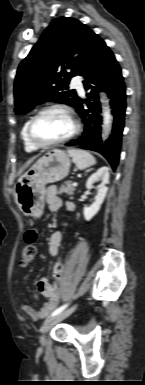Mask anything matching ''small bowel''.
I'll use <instances>...</instances> for the list:
<instances>
[{"label":"small bowel","instance_id":"small-bowel-1","mask_svg":"<svg viewBox=\"0 0 145 385\" xmlns=\"http://www.w3.org/2000/svg\"><path fill=\"white\" fill-rule=\"evenodd\" d=\"M46 203L50 211H57L62 206V200L56 193V187L50 186L46 191ZM67 207L70 211H74L75 207L73 204L68 203ZM62 243V233L60 231H54L50 237L49 252L51 255L56 256L60 253ZM58 264V263H57ZM61 264V263H59ZM62 265V264H61ZM56 266V265H55ZM54 266V269H55ZM62 272L57 274L53 270L54 282L50 283L45 277L39 279L36 285L37 292L47 298V301L40 309H36L28 304H21V309L27 315L34 320H40L46 318L57 306L60 294L62 290ZM37 298V295H35Z\"/></svg>","mask_w":145,"mask_h":385}]
</instances>
